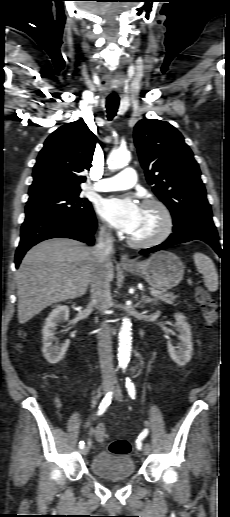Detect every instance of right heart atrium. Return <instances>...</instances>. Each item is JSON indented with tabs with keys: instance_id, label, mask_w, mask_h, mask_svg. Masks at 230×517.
Returning a JSON list of instances; mask_svg holds the SVG:
<instances>
[{
	"instance_id": "obj_1",
	"label": "right heart atrium",
	"mask_w": 230,
	"mask_h": 517,
	"mask_svg": "<svg viewBox=\"0 0 230 517\" xmlns=\"http://www.w3.org/2000/svg\"><path fill=\"white\" fill-rule=\"evenodd\" d=\"M102 232L104 234H110V228L108 226H103L102 227Z\"/></svg>"
}]
</instances>
